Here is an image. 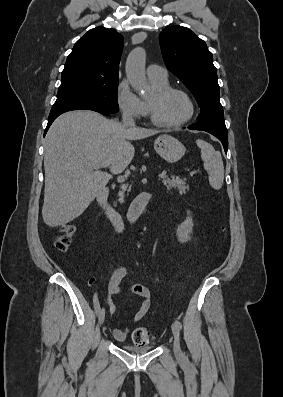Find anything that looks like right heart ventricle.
I'll list each match as a JSON object with an SVG mask.
<instances>
[{
    "mask_svg": "<svg viewBox=\"0 0 283 397\" xmlns=\"http://www.w3.org/2000/svg\"><path fill=\"white\" fill-rule=\"evenodd\" d=\"M150 81H151V83H152V85H153V87H154V89L156 91L170 86L167 79L166 80H153V79H150ZM143 102L145 104L146 111L148 112V100H143Z\"/></svg>",
    "mask_w": 283,
    "mask_h": 397,
    "instance_id": "e07e8e85",
    "label": "right heart ventricle"
}]
</instances>
